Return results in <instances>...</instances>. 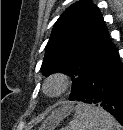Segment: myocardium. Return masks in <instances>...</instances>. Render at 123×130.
<instances>
[{
  "label": "myocardium",
  "mask_w": 123,
  "mask_h": 130,
  "mask_svg": "<svg viewBox=\"0 0 123 130\" xmlns=\"http://www.w3.org/2000/svg\"><path fill=\"white\" fill-rule=\"evenodd\" d=\"M71 85L69 76L62 72L51 74L44 82V92L51 97L64 94Z\"/></svg>",
  "instance_id": "obj_1"
}]
</instances>
